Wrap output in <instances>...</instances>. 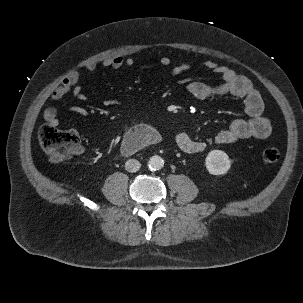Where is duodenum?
Returning <instances> with one entry per match:
<instances>
[{
	"mask_svg": "<svg viewBox=\"0 0 303 303\" xmlns=\"http://www.w3.org/2000/svg\"><path fill=\"white\" fill-rule=\"evenodd\" d=\"M159 142V136L155 130L147 126H140L127 133L122 144L124 154H132L141 148Z\"/></svg>",
	"mask_w": 303,
	"mask_h": 303,
	"instance_id": "obj_1",
	"label": "duodenum"
}]
</instances>
